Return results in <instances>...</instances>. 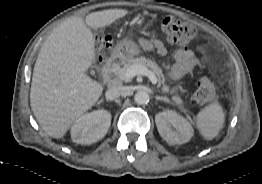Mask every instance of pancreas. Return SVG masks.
<instances>
[{
	"label": "pancreas",
	"mask_w": 262,
	"mask_h": 184,
	"mask_svg": "<svg viewBox=\"0 0 262 184\" xmlns=\"http://www.w3.org/2000/svg\"><path fill=\"white\" fill-rule=\"evenodd\" d=\"M133 65H142L146 68H150V71H152L157 78L158 85H162V91L165 93L172 94L173 95L172 100L176 104L180 105L182 103L181 98L175 95V89L174 88L170 89L169 86L165 84V77L161 68L158 66L156 62L152 61L151 59H147L143 56L137 58H131L124 63L122 68L115 69L114 75L120 80L129 81V79L124 77V74L126 73L127 69Z\"/></svg>",
	"instance_id": "pancreas-1"
}]
</instances>
